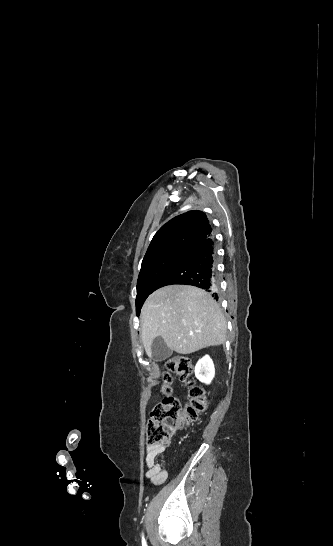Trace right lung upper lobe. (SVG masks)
Here are the masks:
<instances>
[{
  "instance_id": "cb5924a9",
  "label": "right lung upper lobe",
  "mask_w": 333,
  "mask_h": 546,
  "mask_svg": "<svg viewBox=\"0 0 333 546\" xmlns=\"http://www.w3.org/2000/svg\"><path fill=\"white\" fill-rule=\"evenodd\" d=\"M212 236V227L204 212L193 210L178 215L154 235L145 257L174 247L192 248Z\"/></svg>"
}]
</instances>
